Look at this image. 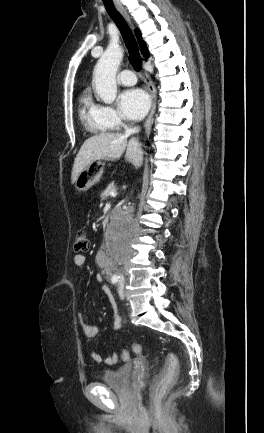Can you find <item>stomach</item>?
Returning a JSON list of instances; mask_svg holds the SVG:
<instances>
[{"label": "stomach", "mask_w": 264, "mask_h": 433, "mask_svg": "<svg viewBox=\"0 0 264 433\" xmlns=\"http://www.w3.org/2000/svg\"><path fill=\"white\" fill-rule=\"evenodd\" d=\"M101 161H93L85 167L75 181V187L79 192H85L99 182L103 174Z\"/></svg>", "instance_id": "obj_1"}]
</instances>
